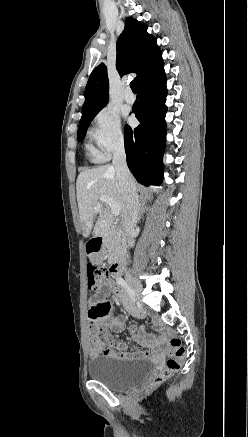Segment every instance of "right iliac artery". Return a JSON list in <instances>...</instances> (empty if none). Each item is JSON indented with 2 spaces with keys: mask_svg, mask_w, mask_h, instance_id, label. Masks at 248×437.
Returning a JSON list of instances; mask_svg holds the SVG:
<instances>
[{
  "mask_svg": "<svg viewBox=\"0 0 248 437\" xmlns=\"http://www.w3.org/2000/svg\"><path fill=\"white\" fill-rule=\"evenodd\" d=\"M117 283L120 284L126 290L131 300L135 302V292L133 289H131V287L127 284V282L123 278L119 277L117 278Z\"/></svg>",
  "mask_w": 248,
  "mask_h": 437,
  "instance_id": "82829eb1",
  "label": "right iliac artery"
}]
</instances>
